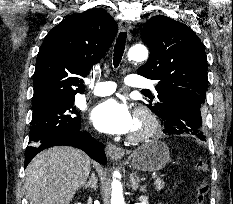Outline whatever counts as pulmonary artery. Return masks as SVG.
I'll return each instance as SVG.
<instances>
[{
    "label": "pulmonary artery",
    "instance_id": "obj_1",
    "mask_svg": "<svg viewBox=\"0 0 233 204\" xmlns=\"http://www.w3.org/2000/svg\"><path fill=\"white\" fill-rule=\"evenodd\" d=\"M125 84L127 86L140 88V89L154 88L153 81L137 74L128 75L125 78ZM115 90H116V83L112 81L97 82L93 93L96 96H107L112 94Z\"/></svg>",
    "mask_w": 233,
    "mask_h": 204
}]
</instances>
